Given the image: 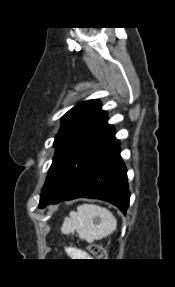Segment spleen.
I'll list each match as a JSON object with an SVG mask.
<instances>
[{
    "instance_id": "3e777b00",
    "label": "spleen",
    "mask_w": 175,
    "mask_h": 287,
    "mask_svg": "<svg viewBox=\"0 0 175 287\" xmlns=\"http://www.w3.org/2000/svg\"><path fill=\"white\" fill-rule=\"evenodd\" d=\"M99 220L98 222H95ZM117 227V220L107 208L95 204H83L77 212H71L61 227L63 234L77 232L79 238L87 242L101 240L110 235Z\"/></svg>"
}]
</instances>
